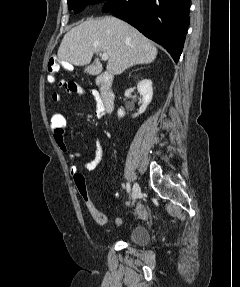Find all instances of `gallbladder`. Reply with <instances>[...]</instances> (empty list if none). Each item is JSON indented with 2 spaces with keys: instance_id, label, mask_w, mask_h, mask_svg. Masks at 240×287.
Segmentation results:
<instances>
[{
  "instance_id": "bac80fb5",
  "label": "gallbladder",
  "mask_w": 240,
  "mask_h": 287,
  "mask_svg": "<svg viewBox=\"0 0 240 287\" xmlns=\"http://www.w3.org/2000/svg\"><path fill=\"white\" fill-rule=\"evenodd\" d=\"M101 70H102L101 66L97 63H94L93 65L85 68V72L91 75H97L101 72Z\"/></svg>"
}]
</instances>
